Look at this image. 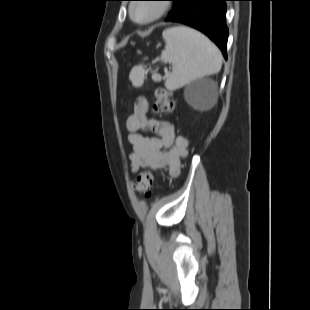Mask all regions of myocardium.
I'll return each instance as SVG.
<instances>
[{
    "instance_id": "f54148a6",
    "label": "myocardium",
    "mask_w": 310,
    "mask_h": 310,
    "mask_svg": "<svg viewBox=\"0 0 310 310\" xmlns=\"http://www.w3.org/2000/svg\"><path fill=\"white\" fill-rule=\"evenodd\" d=\"M140 5L143 4H132L129 9L131 19L138 24L153 23L160 19L167 11V6L163 2H153L148 4L153 7V12L145 18H137L135 15V10Z\"/></svg>"
}]
</instances>
